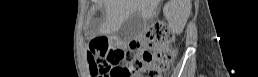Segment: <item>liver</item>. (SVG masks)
Returning <instances> with one entry per match:
<instances>
[{"label": "liver", "mask_w": 258, "mask_h": 77, "mask_svg": "<svg viewBox=\"0 0 258 77\" xmlns=\"http://www.w3.org/2000/svg\"><path fill=\"white\" fill-rule=\"evenodd\" d=\"M160 0H105L106 20L103 25L104 33L116 32L123 22L135 12H139L144 20H150L156 16V8ZM191 0H169L166 3L165 15L170 19L173 9L180 22H185L191 10Z\"/></svg>", "instance_id": "1"}]
</instances>
